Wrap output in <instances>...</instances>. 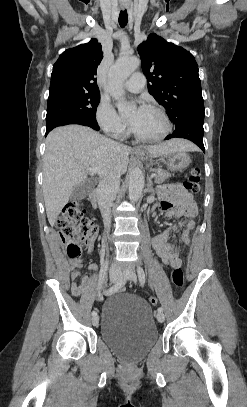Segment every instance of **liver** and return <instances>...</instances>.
<instances>
[{"mask_svg": "<svg viewBox=\"0 0 247 407\" xmlns=\"http://www.w3.org/2000/svg\"><path fill=\"white\" fill-rule=\"evenodd\" d=\"M157 157L171 151H191L186 140L173 139L145 147ZM134 149L119 144L89 127L68 125L51 131L46 139L43 160V196L48 221L53 226L75 187L87 180L90 168L104 171L100 176L122 175L127 171Z\"/></svg>", "mask_w": 247, "mask_h": 407, "instance_id": "obj_1", "label": "liver"}]
</instances>
